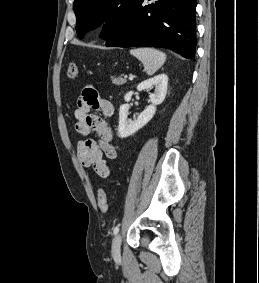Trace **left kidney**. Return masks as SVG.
Listing matches in <instances>:
<instances>
[{"label": "left kidney", "mask_w": 259, "mask_h": 283, "mask_svg": "<svg viewBox=\"0 0 259 283\" xmlns=\"http://www.w3.org/2000/svg\"><path fill=\"white\" fill-rule=\"evenodd\" d=\"M167 85V75L160 74L141 82L137 86L138 91H149L153 87L155 88V91L150 94L151 104L134 120L128 119V112L130 108L128 102L131 100L133 91H130L125 95L124 99L127 103L121 105L119 110L118 136L120 138H127L133 135L153 118L156 112V106L161 104L165 99Z\"/></svg>", "instance_id": "obj_1"}]
</instances>
